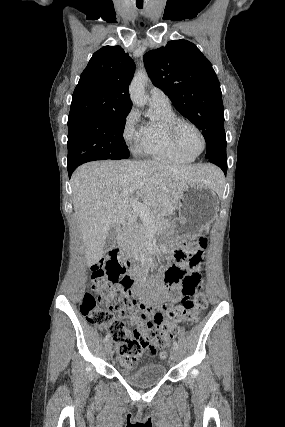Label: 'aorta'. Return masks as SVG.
Listing matches in <instances>:
<instances>
[{
	"mask_svg": "<svg viewBox=\"0 0 285 427\" xmlns=\"http://www.w3.org/2000/svg\"><path fill=\"white\" fill-rule=\"evenodd\" d=\"M148 79L149 78L145 70L138 71L133 77L129 87V93L132 102L136 106L144 107V105L147 103L148 96L145 94V85ZM140 261L142 265L146 262V254L145 250L143 249V243L141 244Z\"/></svg>",
	"mask_w": 285,
	"mask_h": 427,
	"instance_id": "762f6f07",
	"label": "aorta"
}]
</instances>
